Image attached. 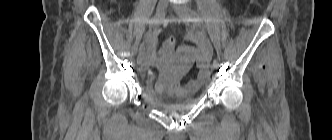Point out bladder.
Returning <instances> with one entry per match:
<instances>
[{"label":"bladder","instance_id":"obj_1","mask_svg":"<svg viewBox=\"0 0 332 140\" xmlns=\"http://www.w3.org/2000/svg\"><path fill=\"white\" fill-rule=\"evenodd\" d=\"M192 81H188L184 86H182V89L184 90L182 94L161 95L149 91V100L156 106L169 111H180L186 109L194 102L197 93L203 85V83H201L194 87H190V83Z\"/></svg>","mask_w":332,"mask_h":140}]
</instances>
